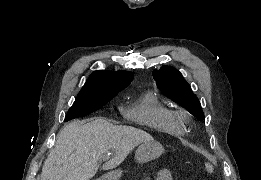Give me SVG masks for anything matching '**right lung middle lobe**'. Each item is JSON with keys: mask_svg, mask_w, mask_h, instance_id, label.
Returning <instances> with one entry per match:
<instances>
[{"mask_svg": "<svg viewBox=\"0 0 261 180\" xmlns=\"http://www.w3.org/2000/svg\"><path fill=\"white\" fill-rule=\"evenodd\" d=\"M113 96H88L78 95L72 107L69 109L66 120L75 117H84L104 106Z\"/></svg>", "mask_w": 261, "mask_h": 180, "instance_id": "obj_1", "label": "right lung middle lobe"}]
</instances>
